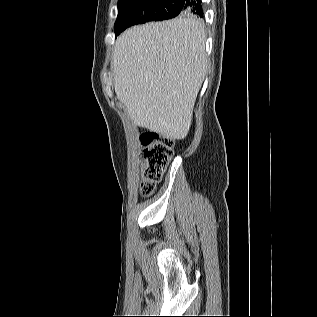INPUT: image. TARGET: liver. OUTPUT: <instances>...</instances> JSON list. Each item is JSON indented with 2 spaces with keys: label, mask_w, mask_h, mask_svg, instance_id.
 Wrapping results in <instances>:
<instances>
[{
  "label": "liver",
  "mask_w": 317,
  "mask_h": 317,
  "mask_svg": "<svg viewBox=\"0 0 317 317\" xmlns=\"http://www.w3.org/2000/svg\"><path fill=\"white\" fill-rule=\"evenodd\" d=\"M206 35L195 18L124 31L112 53L117 98L138 126L170 139L187 136L207 71Z\"/></svg>",
  "instance_id": "liver-1"
}]
</instances>
